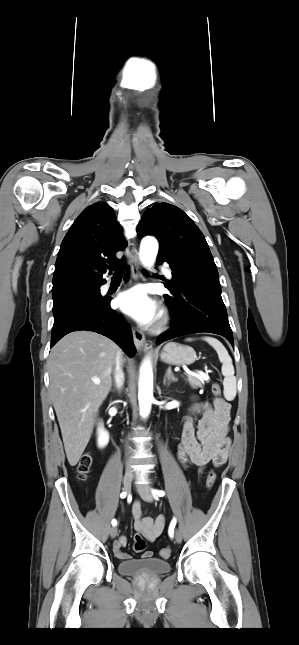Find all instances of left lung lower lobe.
<instances>
[{
  "instance_id": "0a47b994",
  "label": "left lung lower lobe",
  "mask_w": 299,
  "mask_h": 645,
  "mask_svg": "<svg viewBox=\"0 0 299 645\" xmlns=\"http://www.w3.org/2000/svg\"><path fill=\"white\" fill-rule=\"evenodd\" d=\"M172 274L174 283L166 285L171 295H164L172 313V327L158 337L156 344L182 335L208 332L226 337L234 346L218 273L180 267L172 269Z\"/></svg>"
}]
</instances>
